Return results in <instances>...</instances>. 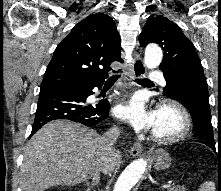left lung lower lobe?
<instances>
[{
    "label": "left lung lower lobe",
    "instance_id": "left-lung-lower-lobe-1",
    "mask_svg": "<svg viewBox=\"0 0 221 191\" xmlns=\"http://www.w3.org/2000/svg\"><path fill=\"white\" fill-rule=\"evenodd\" d=\"M183 90L181 94L183 95L184 103L182 104L191 112L195 134L197 135L199 131L206 129L204 125L211 120L206 79L201 77L193 78L183 86Z\"/></svg>",
    "mask_w": 221,
    "mask_h": 191
}]
</instances>
